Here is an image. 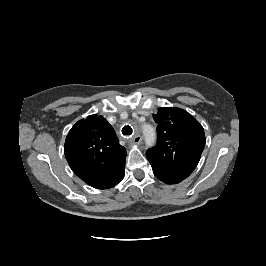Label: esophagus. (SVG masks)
<instances>
[{"label": "esophagus", "mask_w": 266, "mask_h": 266, "mask_svg": "<svg viewBox=\"0 0 266 266\" xmlns=\"http://www.w3.org/2000/svg\"><path fill=\"white\" fill-rule=\"evenodd\" d=\"M142 142V136L141 135H135L133 138H132V143L133 144H141Z\"/></svg>", "instance_id": "esophagus-1"}]
</instances>
